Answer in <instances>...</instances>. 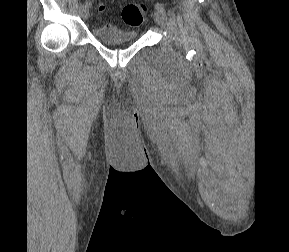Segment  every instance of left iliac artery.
<instances>
[{"label": "left iliac artery", "mask_w": 289, "mask_h": 252, "mask_svg": "<svg viewBox=\"0 0 289 252\" xmlns=\"http://www.w3.org/2000/svg\"><path fill=\"white\" fill-rule=\"evenodd\" d=\"M155 8H156L157 10H160V11H162V12L165 13V7H164L163 4H161V3H156V4H155Z\"/></svg>", "instance_id": "44dca946"}]
</instances>
